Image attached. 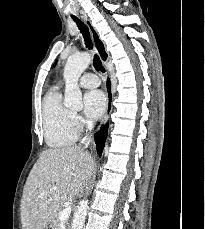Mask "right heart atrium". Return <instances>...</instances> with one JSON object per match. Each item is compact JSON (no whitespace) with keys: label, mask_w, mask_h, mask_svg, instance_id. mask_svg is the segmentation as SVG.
Instances as JSON below:
<instances>
[{"label":"right heart atrium","mask_w":205,"mask_h":229,"mask_svg":"<svg viewBox=\"0 0 205 229\" xmlns=\"http://www.w3.org/2000/svg\"><path fill=\"white\" fill-rule=\"evenodd\" d=\"M74 121L76 125H82L84 123L83 118L80 115H74Z\"/></svg>","instance_id":"obj_1"}]
</instances>
